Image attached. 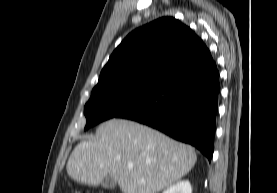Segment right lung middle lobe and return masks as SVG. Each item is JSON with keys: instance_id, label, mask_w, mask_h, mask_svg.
Listing matches in <instances>:
<instances>
[{"instance_id": "1", "label": "right lung middle lobe", "mask_w": 277, "mask_h": 193, "mask_svg": "<svg viewBox=\"0 0 277 193\" xmlns=\"http://www.w3.org/2000/svg\"><path fill=\"white\" fill-rule=\"evenodd\" d=\"M157 89L124 86L105 90L92 91L89 101L84 107L87 119L85 130L120 114L144 101Z\"/></svg>"}]
</instances>
